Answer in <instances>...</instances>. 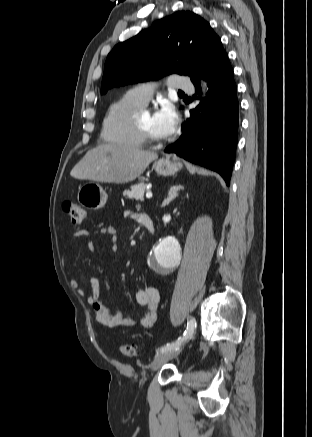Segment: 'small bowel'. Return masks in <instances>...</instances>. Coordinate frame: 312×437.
Wrapping results in <instances>:
<instances>
[{
    "label": "small bowel",
    "mask_w": 312,
    "mask_h": 437,
    "mask_svg": "<svg viewBox=\"0 0 312 437\" xmlns=\"http://www.w3.org/2000/svg\"><path fill=\"white\" fill-rule=\"evenodd\" d=\"M138 222L144 215L135 214L132 215ZM95 234L107 235L110 237L111 249L114 251L117 248L118 235L114 226L102 227L99 231L91 233L88 230H79L73 234L72 240L77 241L81 239H87V244L92 246V242L88 239ZM71 286L75 288L80 295L85 298V301L93 308L96 320L111 329L133 328L140 326L142 328H151L156 319L159 306V293L158 290L150 285H146L135 294L136 301L139 305L145 308L144 314L139 318L133 316H125L119 311H111L106 305H104L100 299V282L97 278H90L88 285L90 288V294L86 295L83 288H81L75 280H71Z\"/></svg>",
    "instance_id": "small-bowel-1"
}]
</instances>
